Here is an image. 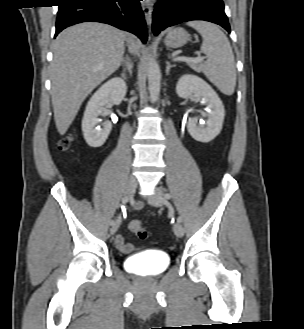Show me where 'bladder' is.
Here are the masks:
<instances>
[{
	"label": "bladder",
	"instance_id": "bladder-1",
	"mask_svg": "<svg viewBox=\"0 0 304 329\" xmlns=\"http://www.w3.org/2000/svg\"><path fill=\"white\" fill-rule=\"evenodd\" d=\"M168 263L169 259L167 257H159L152 262L149 270L141 271L135 256L129 257L124 261V265L130 273L137 277L148 278L159 276L167 268Z\"/></svg>",
	"mask_w": 304,
	"mask_h": 329
}]
</instances>
